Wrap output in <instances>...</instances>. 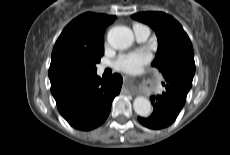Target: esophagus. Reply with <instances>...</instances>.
Masks as SVG:
<instances>
[{
  "instance_id": "34e87169",
  "label": "esophagus",
  "mask_w": 230,
  "mask_h": 155,
  "mask_svg": "<svg viewBox=\"0 0 230 155\" xmlns=\"http://www.w3.org/2000/svg\"><path fill=\"white\" fill-rule=\"evenodd\" d=\"M124 84L127 89L129 88V85L132 84L128 76H124Z\"/></svg>"
}]
</instances>
